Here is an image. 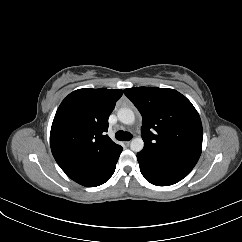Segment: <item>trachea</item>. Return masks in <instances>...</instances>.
Wrapping results in <instances>:
<instances>
[{"label": "trachea", "instance_id": "1", "mask_svg": "<svg viewBox=\"0 0 242 242\" xmlns=\"http://www.w3.org/2000/svg\"><path fill=\"white\" fill-rule=\"evenodd\" d=\"M115 137L120 141H129L132 139V134L130 132L117 131Z\"/></svg>", "mask_w": 242, "mask_h": 242}]
</instances>
